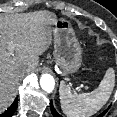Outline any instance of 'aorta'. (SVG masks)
<instances>
[{"label": "aorta", "mask_w": 117, "mask_h": 117, "mask_svg": "<svg viewBox=\"0 0 117 117\" xmlns=\"http://www.w3.org/2000/svg\"><path fill=\"white\" fill-rule=\"evenodd\" d=\"M40 86L47 93H51L55 87V80L50 74H43L40 78Z\"/></svg>", "instance_id": "aorta-1"}]
</instances>
